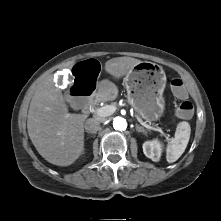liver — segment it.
Wrapping results in <instances>:
<instances>
[{
	"label": "liver",
	"mask_w": 221,
	"mask_h": 221,
	"mask_svg": "<svg viewBox=\"0 0 221 221\" xmlns=\"http://www.w3.org/2000/svg\"><path fill=\"white\" fill-rule=\"evenodd\" d=\"M140 62L132 57L113 58L105 63V71L120 78ZM67 101L68 95H63L49 77L39 85L28 111L27 129L34 147L46 161L57 166L73 164L84 152L87 116L69 113Z\"/></svg>",
	"instance_id": "liver-1"
}]
</instances>
